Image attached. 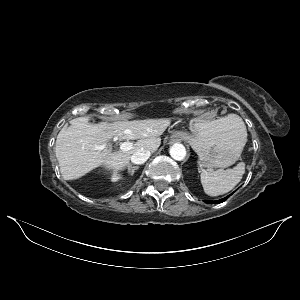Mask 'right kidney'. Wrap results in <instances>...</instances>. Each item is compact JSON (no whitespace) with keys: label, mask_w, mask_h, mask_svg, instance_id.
Returning a JSON list of instances; mask_svg holds the SVG:
<instances>
[{"label":"right kidney","mask_w":300,"mask_h":300,"mask_svg":"<svg viewBox=\"0 0 300 300\" xmlns=\"http://www.w3.org/2000/svg\"><path fill=\"white\" fill-rule=\"evenodd\" d=\"M119 179V176L117 175V174H114L113 176H112V180L113 181H117Z\"/></svg>","instance_id":"ca27d5eb"}]
</instances>
